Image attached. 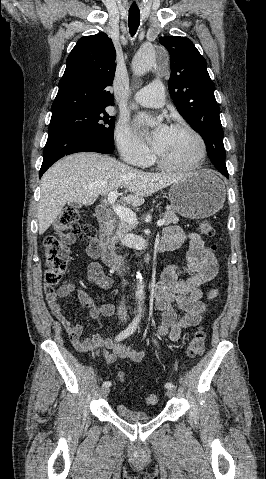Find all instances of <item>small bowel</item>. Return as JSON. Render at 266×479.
I'll return each mask as SVG.
<instances>
[{"instance_id": "c3829d8e", "label": "small bowel", "mask_w": 266, "mask_h": 479, "mask_svg": "<svg viewBox=\"0 0 266 479\" xmlns=\"http://www.w3.org/2000/svg\"><path fill=\"white\" fill-rule=\"evenodd\" d=\"M63 240L71 244L75 242V237L66 234L63 235ZM185 243L189 244L186 264L168 266L154 288L155 305L161 312V323L157 332L160 336L168 335L174 342L180 339L185 329L201 323L206 309L204 298L213 299L217 295L216 292L205 295L202 289L204 284L216 277L218 262L197 233L185 234L178 226H168L160 241L164 250H176ZM89 254L91 255L90 249ZM88 271L90 281L99 289L112 288L113 279L104 273L99 262H92ZM180 275H185L186 279H180ZM73 292L78 294L80 307L89 309L88 316L91 320L111 317L116 314L117 309L113 304L95 306L88 292L70 282L52 292L46 291L48 306L67 332L74 347L84 353H100L108 363H114L118 359L141 362L145 355L144 351L117 343L116 340L104 338L99 334L82 337V325L71 322L62 304V299L69 297ZM174 305L178 306L181 313L176 311Z\"/></svg>"}]
</instances>
